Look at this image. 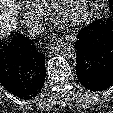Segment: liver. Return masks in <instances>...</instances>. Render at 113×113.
I'll list each match as a JSON object with an SVG mask.
<instances>
[{"instance_id": "1", "label": "liver", "mask_w": 113, "mask_h": 113, "mask_svg": "<svg viewBox=\"0 0 113 113\" xmlns=\"http://www.w3.org/2000/svg\"><path fill=\"white\" fill-rule=\"evenodd\" d=\"M17 7L15 0H0V38L17 28Z\"/></svg>"}]
</instances>
